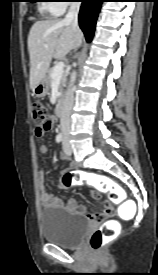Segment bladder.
Returning <instances> with one entry per match:
<instances>
[{
    "instance_id": "1",
    "label": "bladder",
    "mask_w": 158,
    "mask_h": 275,
    "mask_svg": "<svg viewBox=\"0 0 158 275\" xmlns=\"http://www.w3.org/2000/svg\"><path fill=\"white\" fill-rule=\"evenodd\" d=\"M44 240L63 248H75L83 239L90 221L82 214L69 213L61 207H46L41 212Z\"/></svg>"
}]
</instances>
